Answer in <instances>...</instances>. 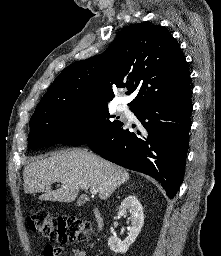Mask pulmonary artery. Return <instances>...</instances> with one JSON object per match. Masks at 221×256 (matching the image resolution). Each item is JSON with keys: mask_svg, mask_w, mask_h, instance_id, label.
<instances>
[{"mask_svg": "<svg viewBox=\"0 0 221 256\" xmlns=\"http://www.w3.org/2000/svg\"><path fill=\"white\" fill-rule=\"evenodd\" d=\"M121 110L125 113V114H127V115H130L131 113H130V111H129V109L126 107V106H121Z\"/></svg>", "mask_w": 221, "mask_h": 256, "instance_id": "obj_1", "label": "pulmonary artery"}]
</instances>
